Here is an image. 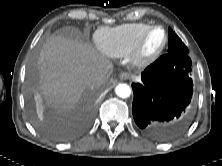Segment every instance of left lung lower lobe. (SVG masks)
<instances>
[{"label":"left lung lower lobe","instance_id":"1","mask_svg":"<svg viewBox=\"0 0 222 166\" xmlns=\"http://www.w3.org/2000/svg\"><path fill=\"white\" fill-rule=\"evenodd\" d=\"M192 61L189 55L167 53L133 83L132 113L137 126L147 135L170 136L184 119L193 95Z\"/></svg>","mask_w":222,"mask_h":166}]
</instances>
